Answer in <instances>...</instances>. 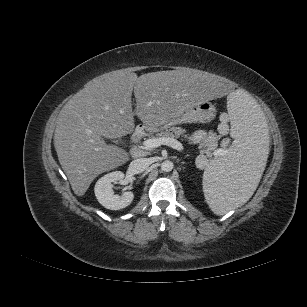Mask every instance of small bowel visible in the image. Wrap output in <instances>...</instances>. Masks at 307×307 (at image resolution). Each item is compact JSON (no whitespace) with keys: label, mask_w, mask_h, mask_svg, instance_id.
<instances>
[{"label":"small bowel","mask_w":307,"mask_h":307,"mask_svg":"<svg viewBox=\"0 0 307 307\" xmlns=\"http://www.w3.org/2000/svg\"><path fill=\"white\" fill-rule=\"evenodd\" d=\"M205 136V132L202 131V130H199V131H196L193 133L192 135V140L195 141V142H198L200 140H202Z\"/></svg>","instance_id":"small-bowel-1"}]
</instances>
